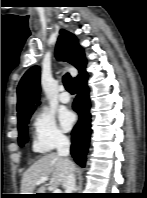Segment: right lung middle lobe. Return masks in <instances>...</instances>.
<instances>
[{
  "instance_id": "dd1d6c3e",
  "label": "right lung middle lobe",
  "mask_w": 147,
  "mask_h": 198,
  "mask_svg": "<svg viewBox=\"0 0 147 198\" xmlns=\"http://www.w3.org/2000/svg\"><path fill=\"white\" fill-rule=\"evenodd\" d=\"M30 116L24 118L20 122H18V143L20 146H23L28 141V131L27 124L29 122Z\"/></svg>"
}]
</instances>
